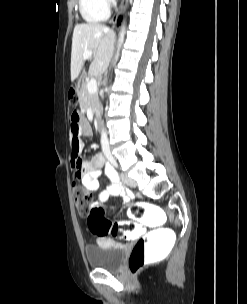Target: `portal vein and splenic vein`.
I'll return each mask as SVG.
<instances>
[{
    "instance_id": "portal-vein-and-splenic-vein-1",
    "label": "portal vein and splenic vein",
    "mask_w": 247,
    "mask_h": 304,
    "mask_svg": "<svg viewBox=\"0 0 247 304\" xmlns=\"http://www.w3.org/2000/svg\"><path fill=\"white\" fill-rule=\"evenodd\" d=\"M91 55H92L91 51H86L83 54V58L88 59ZM87 88H88L89 93H91V94L97 92V83L94 78H91L90 80H88Z\"/></svg>"
}]
</instances>
